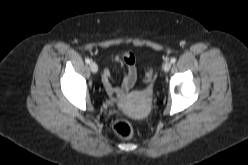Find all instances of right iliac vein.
Returning <instances> with one entry per match:
<instances>
[{
  "label": "right iliac vein",
  "mask_w": 248,
  "mask_h": 165,
  "mask_svg": "<svg viewBox=\"0 0 248 165\" xmlns=\"http://www.w3.org/2000/svg\"><path fill=\"white\" fill-rule=\"evenodd\" d=\"M90 69H91V71H92L93 73H97V71H98V66H97V64H96L95 62H91V63H90Z\"/></svg>",
  "instance_id": "1"
}]
</instances>
